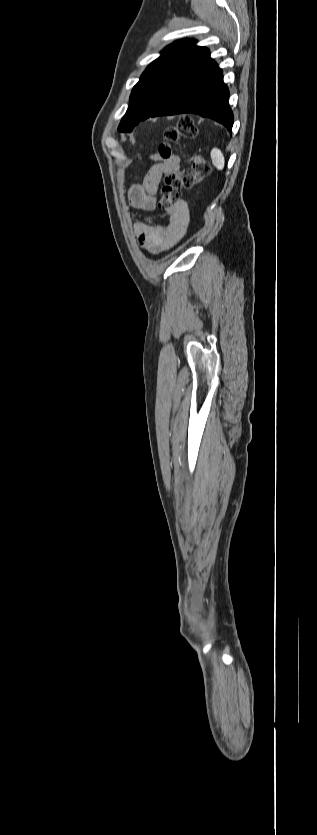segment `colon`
Returning <instances> with one entry per match:
<instances>
[{
	"label": "colon",
	"mask_w": 317,
	"mask_h": 835,
	"mask_svg": "<svg viewBox=\"0 0 317 835\" xmlns=\"http://www.w3.org/2000/svg\"><path fill=\"white\" fill-rule=\"evenodd\" d=\"M197 133L193 119L189 116L181 117L175 126L167 128L163 133V141L158 147L159 155L165 159L170 158L175 142L182 138H194ZM210 172L209 162L202 155L195 154L190 159L189 168L166 174L160 192L159 208L164 213H170L180 204L182 190L193 187L208 177Z\"/></svg>",
	"instance_id": "obj_1"
}]
</instances>
